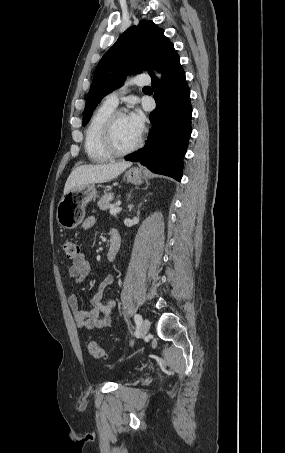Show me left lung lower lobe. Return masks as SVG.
I'll return each instance as SVG.
<instances>
[{
	"label": "left lung lower lobe",
	"mask_w": 285,
	"mask_h": 453,
	"mask_svg": "<svg viewBox=\"0 0 285 453\" xmlns=\"http://www.w3.org/2000/svg\"><path fill=\"white\" fill-rule=\"evenodd\" d=\"M159 70L163 75L161 82L152 76L157 107L150 114L153 126L148 142L141 150L125 156V160L140 162L155 173L180 181L191 134L192 108L185 72L174 47L162 60Z\"/></svg>",
	"instance_id": "0a47b994"
}]
</instances>
